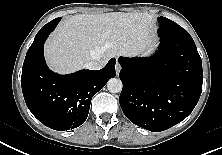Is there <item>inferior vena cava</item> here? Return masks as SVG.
Returning <instances> with one entry per match:
<instances>
[{
	"mask_svg": "<svg viewBox=\"0 0 222 155\" xmlns=\"http://www.w3.org/2000/svg\"><path fill=\"white\" fill-rule=\"evenodd\" d=\"M103 66V63L94 60L85 64V68L90 70H100Z\"/></svg>",
	"mask_w": 222,
	"mask_h": 155,
	"instance_id": "obj_1",
	"label": "inferior vena cava"
}]
</instances>
